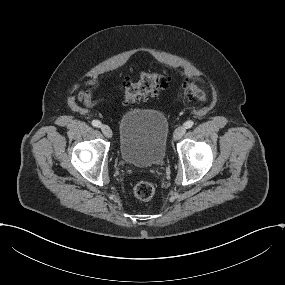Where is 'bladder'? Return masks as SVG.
I'll use <instances>...</instances> for the list:
<instances>
[{
	"mask_svg": "<svg viewBox=\"0 0 285 285\" xmlns=\"http://www.w3.org/2000/svg\"><path fill=\"white\" fill-rule=\"evenodd\" d=\"M168 121L158 110L135 109L125 112L118 125V155L136 167L162 165L166 156Z\"/></svg>",
	"mask_w": 285,
	"mask_h": 285,
	"instance_id": "31cf9c89",
	"label": "bladder"
}]
</instances>
